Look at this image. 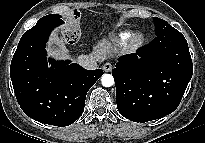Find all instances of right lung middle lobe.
Wrapping results in <instances>:
<instances>
[{
  "mask_svg": "<svg viewBox=\"0 0 205 143\" xmlns=\"http://www.w3.org/2000/svg\"><path fill=\"white\" fill-rule=\"evenodd\" d=\"M43 18L57 20L59 23H63L62 19H60L61 17L56 14L47 15L44 16Z\"/></svg>",
  "mask_w": 205,
  "mask_h": 143,
  "instance_id": "1",
  "label": "right lung middle lobe"
}]
</instances>
